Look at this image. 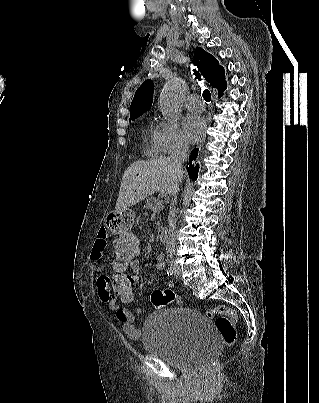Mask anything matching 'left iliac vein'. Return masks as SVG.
<instances>
[{
  "instance_id": "1",
  "label": "left iliac vein",
  "mask_w": 319,
  "mask_h": 403,
  "mask_svg": "<svg viewBox=\"0 0 319 403\" xmlns=\"http://www.w3.org/2000/svg\"><path fill=\"white\" fill-rule=\"evenodd\" d=\"M173 269H174V276L175 278L179 279L181 276V272L180 269L177 267V265H172Z\"/></svg>"
}]
</instances>
